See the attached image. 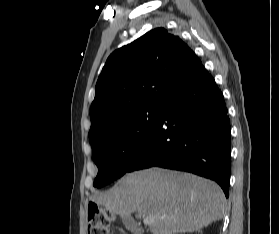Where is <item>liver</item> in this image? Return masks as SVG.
<instances>
[{"mask_svg": "<svg viewBox=\"0 0 279 234\" xmlns=\"http://www.w3.org/2000/svg\"><path fill=\"white\" fill-rule=\"evenodd\" d=\"M92 200L109 212L152 217L153 234L194 232L222 219L226 199L214 182L189 173L151 168L129 173Z\"/></svg>", "mask_w": 279, "mask_h": 234, "instance_id": "liver-1", "label": "liver"}]
</instances>
